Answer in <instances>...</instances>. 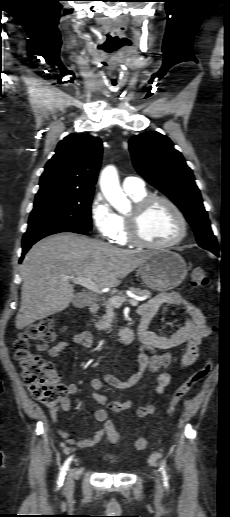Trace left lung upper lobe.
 Here are the masks:
<instances>
[{
	"mask_svg": "<svg viewBox=\"0 0 230 517\" xmlns=\"http://www.w3.org/2000/svg\"><path fill=\"white\" fill-rule=\"evenodd\" d=\"M132 161L137 172L167 195L191 224L199 246L217 250L207 212L192 170L172 141L156 131L133 136L129 140Z\"/></svg>",
	"mask_w": 230,
	"mask_h": 517,
	"instance_id": "1",
	"label": "left lung upper lobe"
}]
</instances>
